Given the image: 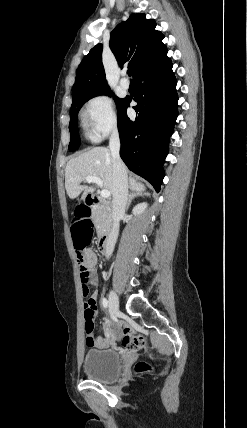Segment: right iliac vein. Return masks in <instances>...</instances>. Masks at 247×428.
Segmentation results:
<instances>
[{
    "label": "right iliac vein",
    "instance_id": "obj_1",
    "mask_svg": "<svg viewBox=\"0 0 247 428\" xmlns=\"http://www.w3.org/2000/svg\"><path fill=\"white\" fill-rule=\"evenodd\" d=\"M109 310L113 316H116L119 313V300L114 291H110L109 294Z\"/></svg>",
    "mask_w": 247,
    "mask_h": 428
}]
</instances>
